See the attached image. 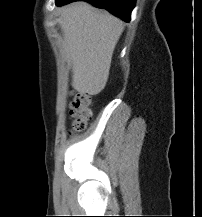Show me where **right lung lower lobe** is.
<instances>
[{
  "label": "right lung lower lobe",
  "mask_w": 202,
  "mask_h": 217,
  "mask_svg": "<svg viewBox=\"0 0 202 217\" xmlns=\"http://www.w3.org/2000/svg\"><path fill=\"white\" fill-rule=\"evenodd\" d=\"M73 1H86L97 8L106 9L126 22L130 21V14L135 0H56V5H64Z\"/></svg>",
  "instance_id": "98d812e1"
}]
</instances>
